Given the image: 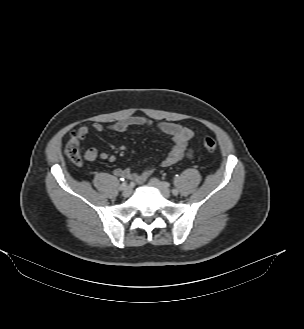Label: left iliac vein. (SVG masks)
<instances>
[{
  "mask_svg": "<svg viewBox=\"0 0 304 329\" xmlns=\"http://www.w3.org/2000/svg\"><path fill=\"white\" fill-rule=\"evenodd\" d=\"M150 184L153 187L157 188L165 198H169L171 196L170 189L167 187L165 183L161 182L160 180L156 178H151Z\"/></svg>",
  "mask_w": 304,
  "mask_h": 329,
  "instance_id": "obj_1",
  "label": "left iliac vein"
}]
</instances>
